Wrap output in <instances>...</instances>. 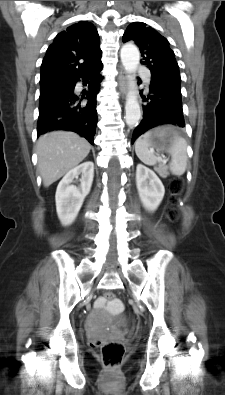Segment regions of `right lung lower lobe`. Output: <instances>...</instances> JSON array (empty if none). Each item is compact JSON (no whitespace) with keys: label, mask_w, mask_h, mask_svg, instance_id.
Returning <instances> with one entry per match:
<instances>
[{"label":"right lung lower lobe","mask_w":225,"mask_h":395,"mask_svg":"<svg viewBox=\"0 0 225 395\" xmlns=\"http://www.w3.org/2000/svg\"><path fill=\"white\" fill-rule=\"evenodd\" d=\"M102 62L78 75L64 78L40 90L38 136L52 130H68L79 133L91 144L97 125L96 95L100 89ZM85 78L91 80L88 91L80 95L74 91L76 83ZM88 99L87 105H82Z\"/></svg>","instance_id":"right-lung-lower-lobe-1"}]
</instances>
